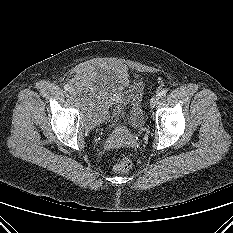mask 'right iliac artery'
Returning <instances> with one entry per match:
<instances>
[{
    "label": "right iliac artery",
    "mask_w": 233,
    "mask_h": 233,
    "mask_svg": "<svg viewBox=\"0 0 233 233\" xmlns=\"http://www.w3.org/2000/svg\"><path fill=\"white\" fill-rule=\"evenodd\" d=\"M64 89H65L66 91H69V90H70V86H69V85H65V86H64Z\"/></svg>",
    "instance_id": "obj_1"
}]
</instances>
